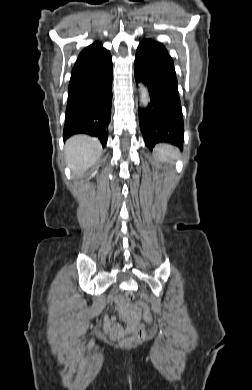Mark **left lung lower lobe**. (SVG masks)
<instances>
[{
  "mask_svg": "<svg viewBox=\"0 0 252 390\" xmlns=\"http://www.w3.org/2000/svg\"><path fill=\"white\" fill-rule=\"evenodd\" d=\"M136 82L148 88L150 101L139 109V124L146 146L168 142L183 146L184 122L174 63L158 43L143 40L134 61Z\"/></svg>",
  "mask_w": 252,
  "mask_h": 390,
  "instance_id": "1",
  "label": "left lung lower lobe"
}]
</instances>
